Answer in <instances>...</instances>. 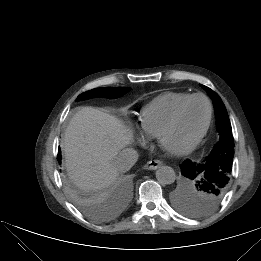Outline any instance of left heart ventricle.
<instances>
[{"label":"left heart ventricle","instance_id":"1","mask_svg":"<svg viewBox=\"0 0 261 261\" xmlns=\"http://www.w3.org/2000/svg\"><path fill=\"white\" fill-rule=\"evenodd\" d=\"M206 118V102L203 99L190 101L181 111L175 126L166 135L165 147L176 149L190 143L202 130Z\"/></svg>","mask_w":261,"mask_h":261}]
</instances>
